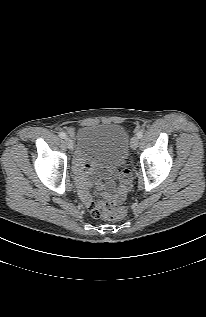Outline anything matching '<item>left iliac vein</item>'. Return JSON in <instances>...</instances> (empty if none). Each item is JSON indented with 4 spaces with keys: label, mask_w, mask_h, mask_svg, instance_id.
<instances>
[{
    "label": "left iliac vein",
    "mask_w": 206,
    "mask_h": 317,
    "mask_svg": "<svg viewBox=\"0 0 206 317\" xmlns=\"http://www.w3.org/2000/svg\"><path fill=\"white\" fill-rule=\"evenodd\" d=\"M138 144L139 138L137 136H134L131 140V148L135 150L138 147Z\"/></svg>",
    "instance_id": "obj_1"
}]
</instances>
